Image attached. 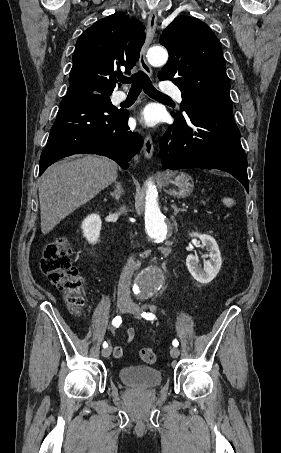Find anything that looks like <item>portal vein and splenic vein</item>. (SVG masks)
<instances>
[{
  "mask_svg": "<svg viewBox=\"0 0 281 453\" xmlns=\"http://www.w3.org/2000/svg\"><path fill=\"white\" fill-rule=\"evenodd\" d=\"M185 208H188V205H185ZM198 212H199L198 210H195V213ZM205 212L208 213L209 215H213V212L211 210H206Z\"/></svg>",
  "mask_w": 281,
  "mask_h": 453,
  "instance_id": "obj_1",
  "label": "portal vein and splenic vein"
}]
</instances>
